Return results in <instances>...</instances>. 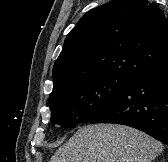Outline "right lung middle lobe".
<instances>
[{
  "instance_id": "obj_1",
  "label": "right lung middle lobe",
  "mask_w": 168,
  "mask_h": 162,
  "mask_svg": "<svg viewBox=\"0 0 168 162\" xmlns=\"http://www.w3.org/2000/svg\"><path fill=\"white\" fill-rule=\"evenodd\" d=\"M132 78L108 74L74 83L50 94L52 125L71 128L90 122Z\"/></svg>"
}]
</instances>
